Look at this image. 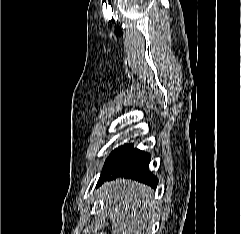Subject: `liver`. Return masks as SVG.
I'll use <instances>...</instances> for the list:
<instances>
[{
	"label": "liver",
	"instance_id": "1",
	"mask_svg": "<svg viewBox=\"0 0 241 234\" xmlns=\"http://www.w3.org/2000/svg\"><path fill=\"white\" fill-rule=\"evenodd\" d=\"M102 199L108 207L112 234H144L154 214L151 188L127 179H117L102 187Z\"/></svg>",
	"mask_w": 241,
	"mask_h": 234
}]
</instances>
